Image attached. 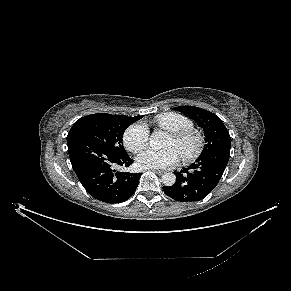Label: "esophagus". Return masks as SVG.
Segmentation results:
<instances>
[{"instance_id": "esophagus-1", "label": "esophagus", "mask_w": 291, "mask_h": 291, "mask_svg": "<svg viewBox=\"0 0 291 291\" xmlns=\"http://www.w3.org/2000/svg\"><path fill=\"white\" fill-rule=\"evenodd\" d=\"M152 171L158 173V174H162L164 171L163 170H158V169H152Z\"/></svg>"}]
</instances>
